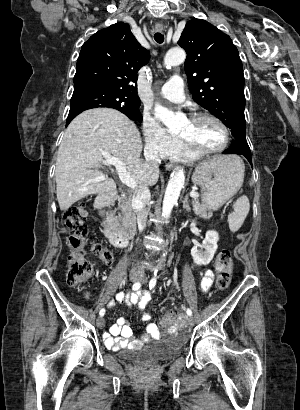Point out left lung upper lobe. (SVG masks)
Instances as JSON below:
<instances>
[{
    "label": "left lung upper lobe",
    "mask_w": 300,
    "mask_h": 410,
    "mask_svg": "<svg viewBox=\"0 0 300 410\" xmlns=\"http://www.w3.org/2000/svg\"><path fill=\"white\" fill-rule=\"evenodd\" d=\"M185 49V72L196 103L228 128L234 139L246 141L244 74L230 37L205 20L193 19L178 41Z\"/></svg>",
    "instance_id": "obj_1"
}]
</instances>
